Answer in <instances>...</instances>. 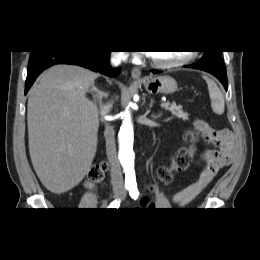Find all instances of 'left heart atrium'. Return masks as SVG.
I'll return each mask as SVG.
<instances>
[{"label":"left heart atrium","instance_id":"obj_1","mask_svg":"<svg viewBox=\"0 0 260 260\" xmlns=\"http://www.w3.org/2000/svg\"><path fill=\"white\" fill-rule=\"evenodd\" d=\"M147 54L151 55V52H147Z\"/></svg>","mask_w":260,"mask_h":260}]
</instances>
